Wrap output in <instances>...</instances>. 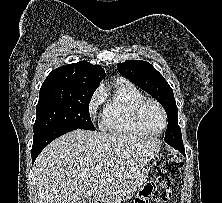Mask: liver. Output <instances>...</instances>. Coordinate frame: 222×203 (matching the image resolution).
I'll use <instances>...</instances> for the list:
<instances>
[{"label":"liver","mask_w":222,"mask_h":203,"mask_svg":"<svg viewBox=\"0 0 222 203\" xmlns=\"http://www.w3.org/2000/svg\"><path fill=\"white\" fill-rule=\"evenodd\" d=\"M161 142L132 134L77 129L51 142L34 163L39 203H80L118 196L119 189L160 151Z\"/></svg>","instance_id":"6515ba94"}]
</instances>
